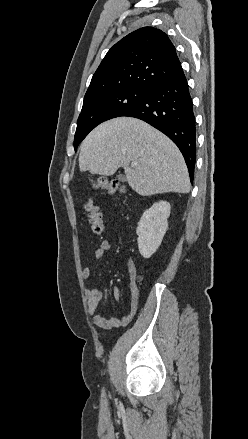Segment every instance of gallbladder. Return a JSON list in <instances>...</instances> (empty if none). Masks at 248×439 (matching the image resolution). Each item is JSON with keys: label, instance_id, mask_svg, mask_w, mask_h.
<instances>
[{"label": "gallbladder", "instance_id": "bac80fb5", "mask_svg": "<svg viewBox=\"0 0 248 439\" xmlns=\"http://www.w3.org/2000/svg\"><path fill=\"white\" fill-rule=\"evenodd\" d=\"M117 177H118L119 180H121V181H123V182L126 180V179H125V176H123V175H121V174H119Z\"/></svg>", "mask_w": 248, "mask_h": 439}]
</instances>
